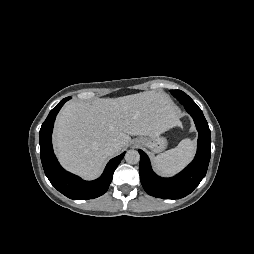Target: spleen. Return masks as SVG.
Instances as JSON below:
<instances>
[{
    "instance_id": "3e777b00",
    "label": "spleen",
    "mask_w": 254,
    "mask_h": 254,
    "mask_svg": "<svg viewBox=\"0 0 254 254\" xmlns=\"http://www.w3.org/2000/svg\"><path fill=\"white\" fill-rule=\"evenodd\" d=\"M195 143L182 140L177 147L167 150L153 158L154 169L161 175L172 176L183 169L194 157Z\"/></svg>"
}]
</instances>
